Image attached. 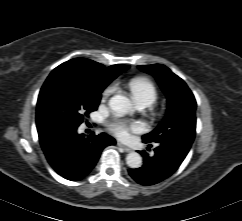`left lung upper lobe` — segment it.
I'll use <instances>...</instances> for the list:
<instances>
[{"label":"left lung upper lobe","mask_w":242,"mask_h":221,"mask_svg":"<svg viewBox=\"0 0 242 221\" xmlns=\"http://www.w3.org/2000/svg\"><path fill=\"white\" fill-rule=\"evenodd\" d=\"M138 68L155 76L167 101L166 117L150 133L144 143L177 142L191 147L196 133V100L186 83L162 64L139 65Z\"/></svg>","instance_id":"1"}]
</instances>
